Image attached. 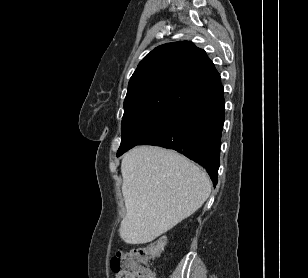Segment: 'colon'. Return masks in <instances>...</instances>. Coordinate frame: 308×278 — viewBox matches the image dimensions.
I'll return each mask as SVG.
<instances>
[{"label": "colon", "instance_id": "5ec220e1", "mask_svg": "<svg viewBox=\"0 0 308 278\" xmlns=\"http://www.w3.org/2000/svg\"><path fill=\"white\" fill-rule=\"evenodd\" d=\"M166 237L160 236L150 243L127 251H118L111 259V268L120 278H154L149 261L163 250Z\"/></svg>", "mask_w": 308, "mask_h": 278}]
</instances>
